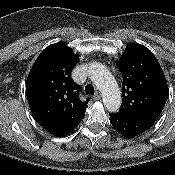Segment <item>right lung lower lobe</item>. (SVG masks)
Listing matches in <instances>:
<instances>
[{"mask_svg":"<svg viewBox=\"0 0 175 175\" xmlns=\"http://www.w3.org/2000/svg\"><path fill=\"white\" fill-rule=\"evenodd\" d=\"M77 125L70 127V128H64V129H59V130H55V131H50V133L53 134L54 136L63 137L65 135L69 134L72 130H74V128H76Z\"/></svg>","mask_w":175,"mask_h":175,"instance_id":"98d812e1","label":"right lung lower lobe"}]
</instances>
